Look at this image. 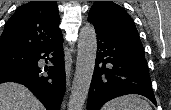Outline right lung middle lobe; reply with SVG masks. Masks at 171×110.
I'll return each mask as SVG.
<instances>
[{"label": "right lung middle lobe", "instance_id": "1", "mask_svg": "<svg viewBox=\"0 0 171 110\" xmlns=\"http://www.w3.org/2000/svg\"><path fill=\"white\" fill-rule=\"evenodd\" d=\"M33 60V52L30 51H0V71L26 66Z\"/></svg>", "mask_w": 171, "mask_h": 110}]
</instances>
